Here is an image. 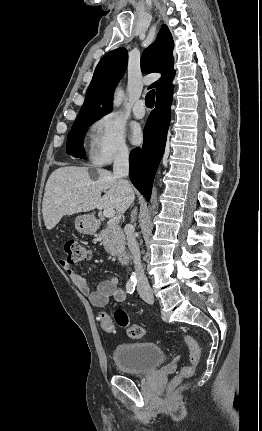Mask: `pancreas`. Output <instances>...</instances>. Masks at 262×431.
Returning <instances> with one entry per match:
<instances>
[{"mask_svg":"<svg viewBox=\"0 0 262 431\" xmlns=\"http://www.w3.org/2000/svg\"><path fill=\"white\" fill-rule=\"evenodd\" d=\"M97 238L102 240L105 250L111 255H118L125 250V236L118 220L107 222L106 228Z\"/></svg>","mask_w":262,"mask_h":431,"instance_id":"pancreas-1","label":"pancreas"}]
</instances>
